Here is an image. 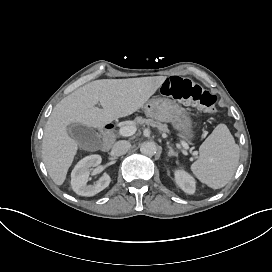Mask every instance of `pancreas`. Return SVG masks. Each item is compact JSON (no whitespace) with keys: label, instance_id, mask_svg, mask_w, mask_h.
Segmentation results:
<instances>
[{"label":"pancreas","instance_id":"1","mask_svg":"<svg viewBox=\"0 0 272 272\" xmlns=\"http://www.w3.org/2000/svg\"><path fill=\"white\" fill-rule=\"evenodd\" d=\"M136 122H137V126L141 127L143 124L147 125V126H152V127H156L159 131L162 132H169V129L167 128L166 125H163L159 122H156L152 119H142V118H136Z\"/></svg>","mask_w":272,"mask_h":272}]
</instances>
